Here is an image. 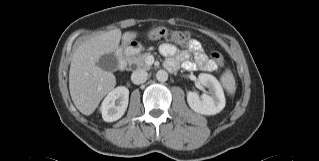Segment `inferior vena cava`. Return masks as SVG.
<instances>
[{"mask_svg": "<svg viewBox=\"0 0 319 161\" xmlns=\"http://www.w3.org/2000/svg\"><path fill=\"white\" fill-rule=\"evenodd\" d=\"M147 78H148V73L142 69L135 70L131 75L132 82L137 85L146 82Z\"/></svg>", "mask_w": 319, "mask_h": 161, "instance_id": "602c4592", "label": "inferior vena cava"}]
</instances>
